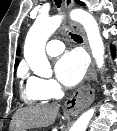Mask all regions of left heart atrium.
<instances>
[{
  "mask_svg": "<svg viewBox=\"0 0 117 131\" xmlns=\"http://www.w3.org/2000/svg\"><path fill=\"white\" fill-rule=\"evenodd\" d=\"M85 56L77 50L64 54L56 63L55 71L59 81L66 86L78 84L86 72Z\"/></svg>",
  "mask_w": 117,
  "mask_h": 131,
  "instance_id": "1",
  "label": "left heart atrium"
}]
</instances>
